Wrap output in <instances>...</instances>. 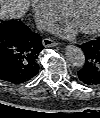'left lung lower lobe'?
<instances>
[{"mask_svg":"<svg viewBox=\"0 0 100 118\" xmlns=\"http://www.w3.org/2000/svg\"><path fill=\"white\" fill-rule=\"evenodd\" d=\"M79 47L85 55V64L77 73L79 80L90 86L100 85V37Z\"/></svg>","mask_w":100,"mask_h":118,"instance_id":"1","label":"left lung lower lobe"}]
</instances>
